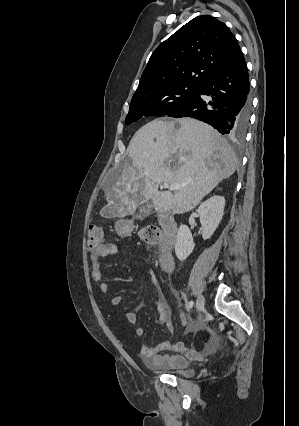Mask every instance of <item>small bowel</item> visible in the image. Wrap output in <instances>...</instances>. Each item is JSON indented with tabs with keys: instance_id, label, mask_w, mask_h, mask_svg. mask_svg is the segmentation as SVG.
I'll return each mask as SVG.
<instances>
[{
	"instance_id": "small-bowel-1",
	"label": "small bowel",
	"mask_w": 299,
	"mask_h": 426,
	"mask_svg": "<svg viewBox=\"0 0 299 426\" xmlns=\"http://www.w3.org/2000/svg\"><path fill=\"white\" fill-rule=\"evenodd\" d=\"M118 252V247L115 243H106L100 246L90 253V264H91V276L94 281L99 282V288L103 295H107L109 292L108 283L104 282L103 271L100 263V259L109 255H115ZM151 277H153L150 271ZM122 295H116L112 298V305L118 306L123 302ZM126 320L130 324H135L137 317L132 312H126L124 314ZM181 324L183 326H190L191 322L185 315L180 313ZM161 322L164 324L170 334L174 332L173 323L166 317L164 312L161 314ZM135 334L141 337L145 334V329L142 326H137ZM210 348V345H206L202 351H198L193 347H187L182 342H175L172 339L160 342L155 346L143 345L140 349L139 355L144 363L149 367L154 368H170V369H184L188 366L189 362L194 359H198ZM165 351H174L175 354H165Z\"/></svg>"
}]
</instances>
